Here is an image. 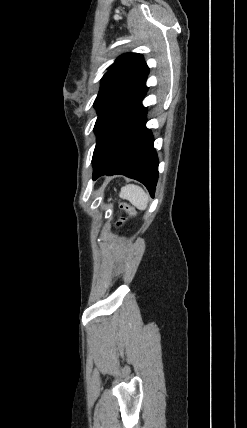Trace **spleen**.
Here are the masks:
<instances>
[{
  "mask_svg": "<svg viewBox=\"0 0 247 428\" xmlns=\"http://www.w3.org/2000/svg\"><path fill=\"white\" fill-rule=\"evenodd\" d=\"M120 197L130 201V203L140 210H145L147 208L148 195L137 185L129 184L123 187L120 192Z\"/></svg>",
  "mask_w": 247,
  "mask_h": 428,
  "instance_id": "spleen-1",
  "label": "spleen"
}]
</instances>
